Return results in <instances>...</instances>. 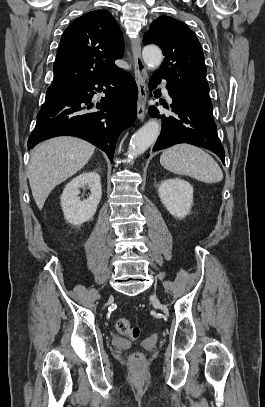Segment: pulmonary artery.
<instances>
[{
	"mask_svg": "<svg viewBox=\"0 0 265 407\" xmlns=\"http://www.w3.org/2000/svg\"><path fill=\"white\" fill-rule=\"evenodd\" d=\"M164 93H165V95H166L167 97H169L167 89H164Z\"/></svg>",
	"mask_w": 265,
	"mask_h": 407,
	"instance_id": "pulmonary-artery-1",
	"label": "pulmonary artery"
}]
</instances>
